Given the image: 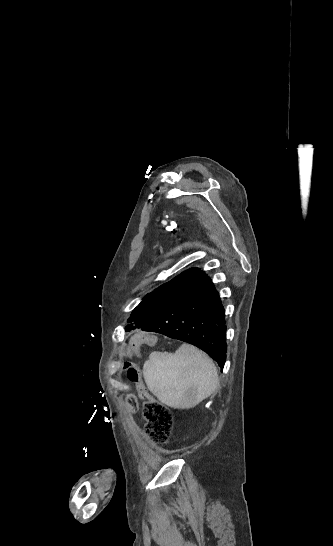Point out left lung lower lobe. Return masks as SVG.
I'll use <instances>...</instances> for the list:
<instances>
[{
    "label": "left lung lower lobe",
    "mask_w": 333,
    "mask_h": 546,
    "mask_svg": "<svg viewBox=\"0 0 333 546\" xmlns=\"http://www.w3.org/2000/svg\"><path fill=\"white\" fill-rule=\"evenodd\" d=\"M126 331L139 328L130 317ZM197 346L223 368L226 361L225 310L211 279L201 271L174 301L159 310L144 327Z\"/></svg>",
    "instance_id": "1"
}]
</instances>
